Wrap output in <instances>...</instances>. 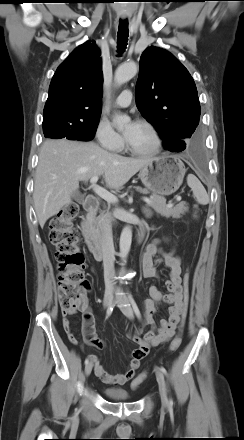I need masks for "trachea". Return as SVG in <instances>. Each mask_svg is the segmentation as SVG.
I'll return each mask as SVG.
<instances>
[{
    "instance_id": "3493384b",
    "label": "trachea",
    "mask_w": 244,
    "mask_h": 440,
    "mask_svg": "<svg viewBox=\"0 0 244 440\" xmlns=\"http://www.w3.org/2000/svg\"><path fill=\"white\" fill-rule=\"evenodd\" d=\"M128 32V21L120 20L117 34V45L119 53H123L126 49L129 36Z\"/></svg>"
}]
</instances>
